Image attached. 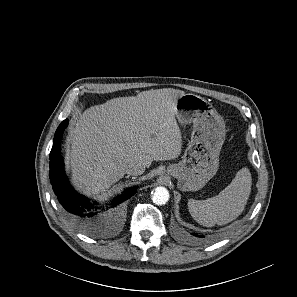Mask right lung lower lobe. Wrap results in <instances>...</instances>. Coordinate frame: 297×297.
Returning <instances> with one entry per match:
<instances>
[{
    "instance_id": "98d812e1",
    "label": "right lung lower lobe",
    "mask_w": 297,
    "mask_h": 297,
    "mask_svg": "<svg viewBox=\"0 0 297 297\" xmlns=\"http://www.w3.org/2000/svg\"><path fill=\"white\" fill-rule=\"evenodd\" d=\"M68 125V119L64 120L56 130L53 146L50 152V182L53 191L63 207V209L71 217L73 223L83 232L89 235L99 234L102 218L95 212L96 203L78 194L68 182L63 166V159L60 152V141L65 128ZM135 188L128 189L124 194L116 197L111 203L113 207H117L124 201L131 198L135 193Z\"/></svg>"
}]
</instances>
